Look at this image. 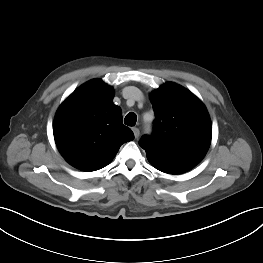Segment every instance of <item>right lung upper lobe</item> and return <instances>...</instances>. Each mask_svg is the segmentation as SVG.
<instances>
[{"label":"right lung upper lobe","mask_w":263,"mask_h":263,"mask_svg":"<svg viewBox=\"0 0 263 263\" xmlns=\"http://www.w3.org/2000/svg\"><path fill=\"white\" fill-rule=\"evenodd\" d=\"M114 91L100 79L75 90L59 107L53 125L56 145L65 160L83 171L109 164L120 146L134 139L123 125Z\"/></svg>","instance_id":"obj_1"}]
</instances>
